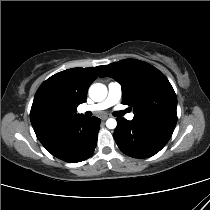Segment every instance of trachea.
Listing matches in <instances>:
<instances>
[{"label": "trachea", "instance_id": "1", "mask_svg": "<svg viewBox=\"0 0 210 210\" xmlns=\"http://www.w3.org/2000/svg\"><path fill=\"white\" fill-rule=\"evenodd\" d=\"M123 114H124L123 111H116V112H114V116H116V117H120V116H122Z\"/></svg>", "mask_w": 210, "mask_h": 210}]
</instances>
